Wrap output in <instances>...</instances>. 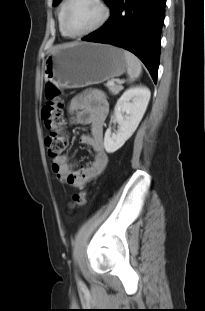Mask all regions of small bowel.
Masks as SVG:
<instances>
[{
    "mask_svg": "<svg viewBox=\"0 0 205 311\" xmlns=\"http://www.w3.org/2000/svg\"><path fill=\"white\" fill-rule=\"evenodd\" d=\"M108 111V102L99 90H89L71 98L67 105L69 122L73 125L90 126V132L81 135L80 143L90 147L94 157L89 164L78 170L73 168L65 154L53 158L52 170L60 181L82 188L106 168L109 158L103 146V134Z\"/></svg>",
    "mask_w": 205,
    "mask_h": 311,
    "instance_id": "obj_1",
    "label": "small bowel"
}]
</instances>
